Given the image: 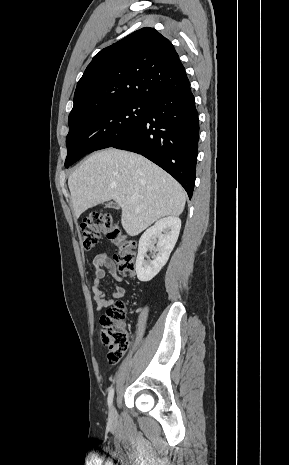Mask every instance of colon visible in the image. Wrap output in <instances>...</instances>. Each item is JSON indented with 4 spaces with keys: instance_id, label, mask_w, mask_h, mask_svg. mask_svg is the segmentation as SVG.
<instances>
[{
    "instance_id": "1",
    "label": "colon",
    "mask_w": 289,
    "mask_h": 465,
    "mask_svg": "<svg viewBox=\"0 0 289 465\" xmlns=\"http://www.w3.org/2000/svg\"><path fill=\"white\" fill-rule=\"evenodd\" d=\"M81 241L85 249L95 248L103 234L117 252L115 260L123 275L132 276L136 268V242L123 233L110 214L92 213L81 223ZM126 310L121 301L107 310L100 318V337L108 348V359L118 362L129 345V334L124 327Z\"/></svg>"
}]
</instances>
